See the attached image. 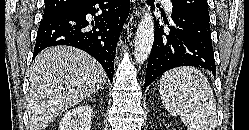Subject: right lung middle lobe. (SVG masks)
Masks as SVG:
<instances>
[{"mask_svg":"<svg viewBox=\"0 0 249 130\" xmlns=\"http://www.w3.org/2000/svg\"><path fill=\"white\" fill-rule=\"evenodd\" d=\"M62 14H65V13H46V12H44L43 19L57 17V16L62 15Z\"/></svg>","mask_w":249,"mask_h":130,"instance_id":"right-lung-middle-lobe-1","label":"right lung middle lobe"}]
</instances>
